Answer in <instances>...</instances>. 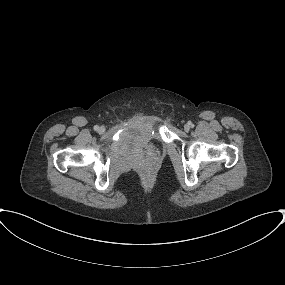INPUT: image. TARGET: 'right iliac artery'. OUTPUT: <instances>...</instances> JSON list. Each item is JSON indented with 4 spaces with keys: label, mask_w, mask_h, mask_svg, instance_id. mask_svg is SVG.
Returning a JSON list of instances; mask_svg holds the SVG:
<instances>
[{
    "label": "right iliac artery",
    "mask_w": 285,
    "mask_h": 285,
    "mask_svg": "<svg viewBox=\"0 0 285 285\" xmlns=\"http://www.w3.org/2000/svg\"><path fill=\"white\" fill-rule=\"evenodd\" d=\"M94 130H95V131H98V130H99V126H98V125H95V126H94Z\"/></svg>",
    "instance_id": "right-iliac-artery-1"
}]
</instances>
